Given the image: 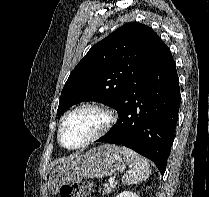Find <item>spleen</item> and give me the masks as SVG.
Here are the masks:
<instances>
[{
  "label": "spleen",
  "instance_id": "1",
  "mask_svg": "<svg viewBox=\"0 0 209 197\" xmlns=\"http://www.w3.org/2000/svg\"><path fill=\"white\" fill-rule=\"evenodd\" d=\"M122 151L130 164V169L122 177L123 184H137L150 176L151 168L145 158L126 147H122Z\"/></svg>",
  "mask_w": 209,
  "mask_h": 197
}]
</instances>
